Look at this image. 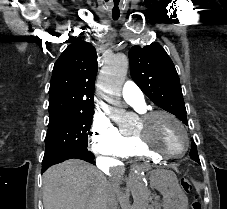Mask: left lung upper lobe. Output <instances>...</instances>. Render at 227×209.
Instances as JSON below:
<instances>
[{
  "mask_svg": "<svg viewBox=\"0 0 227 209\" xmlns=\"http://www.w3.org/2000/svg\"><path fill=\"white\" fill-rule=\"evenodd\" d=\"M131 77L143 93L162 109L187 123L179 76L170 57L158 43L129 51ZM191 159L200 164L196 144L191 143Z\"/></svg>",
  "mask_w": 227,
  "mask_h": 209,
  "instance_id": "5c2ea615",
  "label": "left lung upper lobe"
}]
</instances>
